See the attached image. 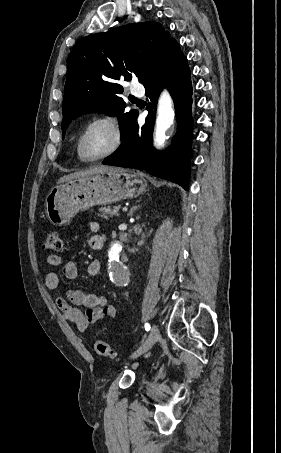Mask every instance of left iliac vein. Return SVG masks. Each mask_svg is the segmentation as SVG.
I'll return each instance as SVG.
<instances>
[{
  "instance_id": "obj_1",
  "label": "left iliac vein",
  "mask_w": 281,
  "mask_h": 453,
  "mask_svg": "<svg viewBox=\"0 0 281 453\" xmlns=\"http://www.w3.org/2000/svg\"><path fill=\"white\" fill-rule=\"evenodd\" d=\"M158 335V329L154 326L147 337V341H145L144 344H141L137 351H134L135 353L131 354L128 359L131 361L133 357L135 358L138 355L142 356L143 353H147L151 345H153L158 340Z\"/></svg>"
}]
</instances>
